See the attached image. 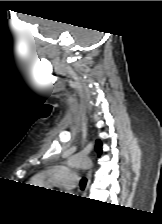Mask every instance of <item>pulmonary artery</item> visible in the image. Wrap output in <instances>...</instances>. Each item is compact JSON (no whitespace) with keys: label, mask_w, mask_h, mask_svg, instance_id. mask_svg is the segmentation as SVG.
Masks as SVG:
<instances>
[{"label":"pulmonary artery","mask_w":162,"mask_h":224,"mask_svg":"<svg viewBox=\"0 0 162 224\" xmlns=\"http://www.w3.org/2000/svg\"><path fill=\"white\" fill-rule=\"evenodd\" d=\"M44 179L55 181L56 185L68 188L76 187L78 181L75 172L67 167H60L46 171Z\"/></svg>","instance_id":"e3ab8cb5"}]
</instances>
